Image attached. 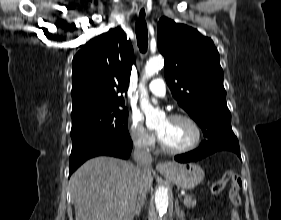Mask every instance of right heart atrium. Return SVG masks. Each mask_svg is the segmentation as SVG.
<instances>
[{
  "label": "right heart atrium",
  "instance_id": "right-heart-atrium-1",
  "mask_svg": "<svg viewBox=\"0 0 281 220\" xmlns=\"http://www.w3.org/2000/svg\"><path fill=\"white\" fill-rule=\"evenodd\" d=\"M129 135L133 145L140 150H151L155 146L154 136L144 128L138 117H131Z\"/></svg>",
  "mask_w": 281,
  "mask_h": 220
}]
</instances>
